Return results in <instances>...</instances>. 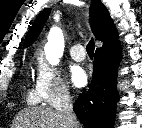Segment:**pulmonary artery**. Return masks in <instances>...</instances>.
I'll use <instances>...</instances> for the list:
<instances>
[{"label":"pulmonary artery","instance_id":"e3ab8cb5","mask_svg":"<svg viewBox=\"0 0 142 128\" xmlns=\"http://www.w3.org/2000/svg\"><path fill=\"white\" fill-rule=\"evenodd\" d=\"M70 55L76 61H83L86 56L84 47L81 44L73 45L70 48Z\"/></svg>","mask_w":142,"mask_h":128}]
</instances>
